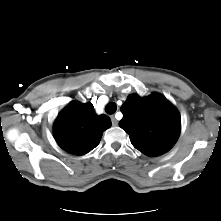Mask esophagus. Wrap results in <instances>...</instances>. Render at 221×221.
Listing matches in <instances>:
<instances>
[{
    "mask_svg": "<svg viewBox=\"0 0 221 221\" xmlns=\"http://www.w3.org/2000/svg\"><path fill=\"white\" fill-rule=\"evenodd\" d=\"M111 121L114 126L118 125V121L115 116H111Z\"/></svg>",
    "mask_w": 221,
    "mask_h": 221,
    "instance_id": "esophagus-1",
    "label": "esophagus"
}]
</instances>
